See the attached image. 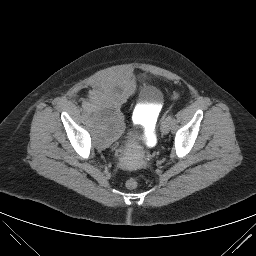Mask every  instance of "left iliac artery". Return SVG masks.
I'll return each instance as SVG.
<instances>
[{"instance_id": "1", "label": "left iliac artery", "mask_w": 256, "mask_h": 256, "mask_svg": "<svg viewBox=\"0 0 256 256\" xmlns=\"http://www.w3.org/2000/svg\"><path fill=\"white\" fill-rule=\"evenodd\" d=\"M172 118H173V115H172V114H169V115L166 117V119L169 120V121H171Z\"/></svg>"}]
</instances>
